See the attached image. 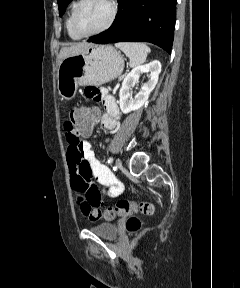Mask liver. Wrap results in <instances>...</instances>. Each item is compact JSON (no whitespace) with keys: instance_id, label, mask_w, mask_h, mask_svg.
Returning a JSON list of instances; mask_svg holds the SVG:
<instances>
[{"instance_id":"obj_1","label":"liver","mask_w":240,"mask_h":288,"mask_svg":"<svg viewBox=\"0 0 240 288\" xmlns=\"http://www.w3.org/2000/svg\"><path fill=\"white\" fill-rule=\"evenodd\" d=\"M91 44L89 43H78V44H73L71 45L70 47H64L60 50V53H59V59H60V62L71 56V55H74V54H77L79 52H81L82 50H84L85 48H87L88 46H90Z\"/></svg>"}]
</instances>
